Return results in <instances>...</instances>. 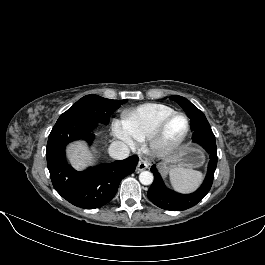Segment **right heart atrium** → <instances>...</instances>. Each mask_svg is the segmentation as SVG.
Masks as SVG:
<instances>
[{
	"mask_svg": "<svg viewBox=\"0 0 265 265\" xmlns=\"http://www.w3.org/2000/svg\"><path fill=\"white\" fill-rule=\"evenodd\" d=\"M112 131L116 138L124 142L128 147H134L136 139L129 132L123 120L114 119L112 122Z\"/></svg>",
	"mask_w": 265,
	"mask_h": 265,
	"instance_id": "1",
	"label": "right heart atrium"
}]
</instances>
